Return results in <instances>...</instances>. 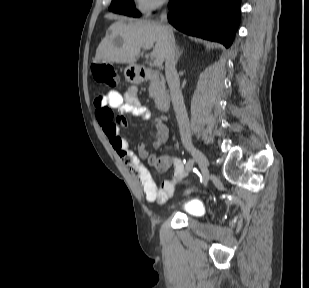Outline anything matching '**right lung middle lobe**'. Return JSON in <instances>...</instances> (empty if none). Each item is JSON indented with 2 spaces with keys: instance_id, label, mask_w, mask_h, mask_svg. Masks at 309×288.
Here are the masks:
<instances>
[{
  "instance_id": "obj_1",
  "label": "right lung middle lobe",
  "mask_w": 309,
  "mask_h": 288,
  "mask_svg": "<svg viewBox=\"0 0 309 288\" xmlns=\"http://www.w3.org/2000/svg\"><path fill=\"white\" fill-rule=\"evenodd\" d=\"M135 5L133 0H112L110 11L119 14H125L133 17L140 16V13L134 9Z\"/></svg>"
}]
</instances>
